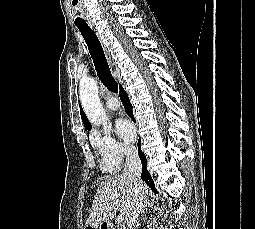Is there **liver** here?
<instances>
[{"instance_id": "liver-1", "label": "liver", "mask_w": 255, "mask_h": 229, "mask_svg": "<svg viewBox=\"0 0 255 229\" xmlns=\"http://www.w3.org/2000/svg\"><path fill=\"white\" fill-rule=\"evenodd\" d=\"M140 186L146 196L148 193L147 185L140 180ZM116 195L119 197L112 199ZM133 196V183L123 175L104 179L96 191L92 204V212L87 220V226L109 223L118 210L121 211L125 220L128 221Z\"/></svg>"}]
</instances>
